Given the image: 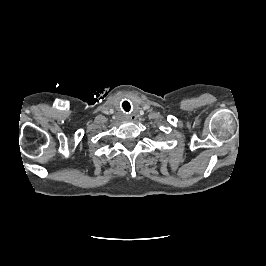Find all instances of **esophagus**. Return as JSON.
<instances>
[{"label":"esophagus","mask_w":266,"mask_h":266,"mask_svg":"<svg viewBox=\"0 0 266 266\" xmlns=\"http://www.w3.org/2000/svg\"><path fill=\"white\" fill-rule=\"evenodd\" d=\"M136 118H137V117H136L135 115H131V116H130V119H131L132 121H135Z\"/></svg>","instance_id":"1"}]
</instances>
